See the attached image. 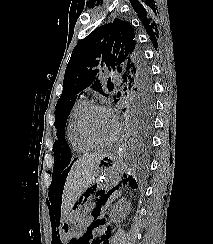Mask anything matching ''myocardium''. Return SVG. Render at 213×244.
Instances as JSON below:
<instances>
[{
	"label": "myocardium",
	"instance_id": "f54148a6",
	"mask_svg": "<svg viewBox=\"0 0 213 244\" xmlns=\"http://www.w3.org/2000/svg\"><path fill=\"white\" fill-rule=\"evenodd\" d=\"M95 110H103V111L108 112L111 115L108 108L105 107L104 105L97 104V103L89 104V106L84 110L83 114L81 115V118L79 121L78 129H79L80 136L86 143L90 144L93 147L100 148V147L111 146L119 137L121 125L118 122V120L115 117H113V120L115 122V132H114L113 136L107 141L95 140L94 138L91 137V135L89 134L88 129H87L88 118H89L90 114Z\"/></svg>",
	"mask_w": 213,
	"mask_h": 244
}]
</instances>
